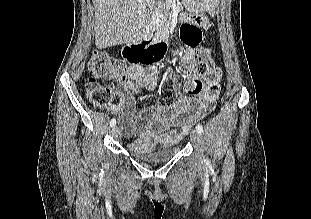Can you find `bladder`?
<instances>
[{
    "label": "bladder",
    "instance_id": "bladder-1",
    "mask_svg": "<svg viewBox=\"0 0 311 219\" xmlns=\"http://www.w3.org/2000/svg\"><path fill=\"white\" fill-rule=\"evenodd\" d=\"M126 148L132 155L149 162L169 160L181 149L179 145L174 144L155 148L150 143L139 140L126 144Z\"/></svg>",
    "mask_w": 311,
    "mask_h": 219
}]
</instances>
